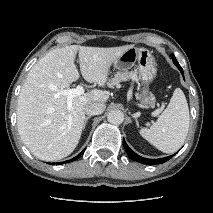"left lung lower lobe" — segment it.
Here are the masks:
<instances>
[{
  "label": "left lung lower lobe",
  "mask_w": 213,
  "mask_h": 213,
  "mask_svg": "<svg viewBox=\"0 0 213 213\" xmlns=\"http://www.w3.org/2000/svg\"><path fill=\"white\" fill-rule=\"evenodd\" d=\"M178 69L180 70V72L183 75L184 78V74H183V69L181 67H178ZM123 146L128 154V156L137 162H141L143 164H147V165H157V164H162L165 163L166 161H168L169 159H171L174 155L168 156V157H164V158H159V159H148V158H144L141 157L139 155H137L135 152H133L129 146L127 145V143L125 142V140L123 139Z\"/></svg>",
  "instance_id": "1"
}]
</instances>
